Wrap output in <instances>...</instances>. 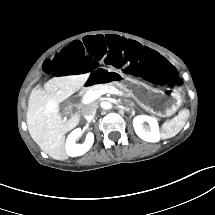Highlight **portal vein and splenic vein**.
Masks as SVG:
<instances>
[{
  "label": "portal vein and splenic vein",
  "mask_w": 215,
  "mask_h": 215,
  "mask_svg": "<svg viewBox=\"0 0 215 215\" xmlns=\"http://www.w3.org/2000/svg\"><path fill=\"white\" fill-rule=\"evenodd\" d=\"M106 93L122 95V92H120L118 89L105 87V88L97 90L95 92L86 93L83 96L82 103L83 104L91 103L92 101L96 100L99 96L106 94Z\"/></svg>",
  "instance_id": "obj_1"
}]
</instances>
